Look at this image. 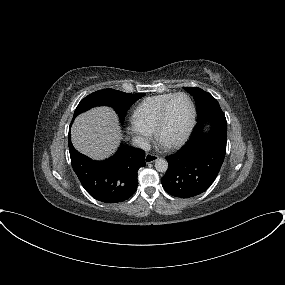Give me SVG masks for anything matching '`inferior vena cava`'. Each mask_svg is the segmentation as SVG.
<instances>
[{
  "label": "inferior vena cava",
  "instance_id": "1",
  "mask_svg": "<svg viewBox=\"0 0 285 285\" xmlns=\"http://www.w3.org/2000/svg\"><path fill=\"white\" fill-rule=\"evenodd\" d=\"M132 143H133V146H135L137 148L143 149L145 151L150 150V144L146 138H143L140 136L133 137Z\"/></svg>",
  "mask_w": 285,
  "mask_h": 285
}]
</instances>
